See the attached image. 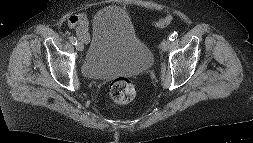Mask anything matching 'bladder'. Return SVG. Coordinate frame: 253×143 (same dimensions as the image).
I'll use <instances>...</instances> for the list:
<instances>
[{
  "label": "bladder",
  "instance_id": "bladder-1",
  "mask_svg": "<svg viewBox=\"0 0 253 143\" xmlns=\"http://www.w3.org/2000/svg\"><path fill=\"white\" fill-rule=\"evenodd\" d=\"M154 64L152 49L136 35L125 9L110 5L96 13L90 44L81 64L87 78L135 76Z\"/></svg>",
  "mask_w": 253,
  "mask_h": 143
}]
</instances>
